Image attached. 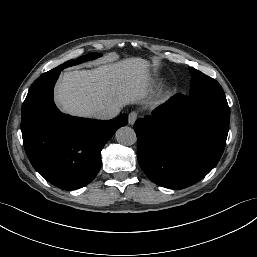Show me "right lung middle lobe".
I'll return each instance as SVG.
<instances>
[{
	"label": "right lung middle lobe",
	"instance_id": "1",
	"mask_svg": "<svg viewBox=\"0 0 257 257\" xmlns=\"http://www.w3.org/2000/svg\"><path fill=\"white\" fill-rule=\"evenodd\" d=\"M100 56H101V54H99V53H90V54H87L85 56L79 57L77 60L67 61L64 64L59 65L56 68H63V69H65L66 67L77 65V64L82 63L84 61H87V60H90V59H95V58L100 57Z\"/></svg>",
	"mask_w": 257,
	"mask_h": 257
}]
</instances>
